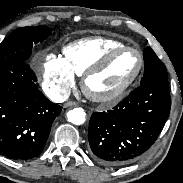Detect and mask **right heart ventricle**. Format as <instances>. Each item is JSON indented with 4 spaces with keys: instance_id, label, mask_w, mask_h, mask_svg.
I'll return each instance as SVG.
<instances>
[{
    "instance_id": "right-heart-ventricle-1",
    "label": "right heart ventricle",
    "mask_w": 183,
    "mask_h": 183,
    "mask_svg": "<svg viewBox=\"0 0 183 183\" xmlns=\"http://www.w3.org/2000/svg\"><path fill=\"white\" fill-rule=\"evenodd\" d=\"M123 45L121 41L102 36L84 38L66 45L62 58L73 74L81 76L108 51Z\"/></svg>"
}]
</instances>
